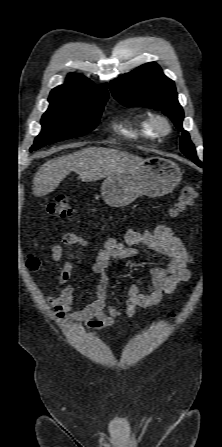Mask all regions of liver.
Listing matches in <instances>:
<instances>
[{"instance_id":"liver-1","label":"liver","mask_w":222,"mask_h":447,"mask_svg":"<svg viewBox=\"0 0 222 447\" xmlns=\"http://www.w3.org/2000/svg\"><path fill=\"white\" fill-rule=\"evenodd\" d=\"M141 157L114 149L89 147L44 163L33 178V195L45 196L58 188L72 171L83 182H91L113 173L133 169Z\"/></svg>"}]
</instances>
